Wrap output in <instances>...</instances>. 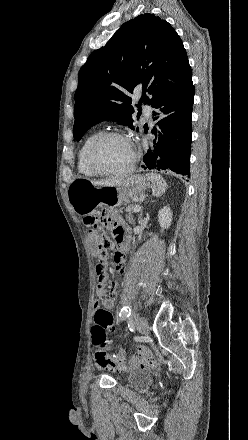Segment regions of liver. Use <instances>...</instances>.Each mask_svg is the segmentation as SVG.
Masks as SVG:
<instances>
[{
    "mask_svg": "<svg viewBox=\"0 0 248 440\" xmlns=\"http://www.w3.org/2000/svg\"><path fill=\"white\" fill-rule=\"evenodd\" d=\"M122 180H107V181H94L96 186H111L120 183Z\"/></svg>",
    "mask_w": 248,
    "mask_h": 440,
    "instance_id": "6515ba94",
    "label": "liver"
}]
</instances>
